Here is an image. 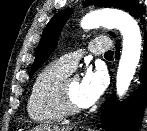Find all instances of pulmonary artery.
<instances>
[{"mask_svg": "<svg viewBox=\"0 0 147 131\" xmlns=\"http://www.w3.org/2000/svg\"><path fill=\"white\" fill-rule=\"evenodd\" d=\"M111 43L107 38H96L89 42L88 51L93 54H102L110 49ZM81 52L68 53L59 59V62L72 72L81 58Z\"/></svg>", "mask_w": 147, "mask_h": 131, "instance_id": "e3ab8cb5", "label": "pulmonary artery"}]
</instances>
